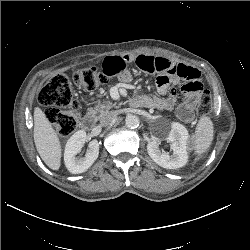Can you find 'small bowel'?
Returning <instances> with one entry per match:
<instances>
[{"mask_svg": "<svg viewBox=\"0 0 250 250\" xmlns=\"http://www.w3.org/2000/svg\"><path fill=\"white\" fill-rule=\"evenodd\" d=\"M132 62L141 70L156 75V85L161 95L140 97L136 101L137 104L173 110L176 105V91L170 86L183 82L184 101L176 107V113L185 123L193 121L194 109L203 89L201 74L197 69L162 57L120 55L107 57L102 63V70L110 76H117L121 82L128 83L132 76L127 67Z\"/></svg>", "mask_w": 250, "mask_h": 250, "instance_id": "1", "label": "small bowel"}]
</instances>
